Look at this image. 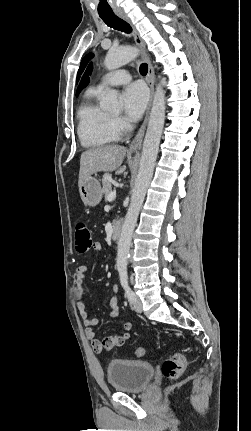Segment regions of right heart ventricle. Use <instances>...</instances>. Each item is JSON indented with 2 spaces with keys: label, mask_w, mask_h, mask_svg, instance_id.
Returning a JSON list of instances; mask_svg holds the SVG:
<instances>
[{
  "label": "right heart ventricle",
  "mask_w": 251,
  "mask_h": 431,
  "mask_svg": "<svg viewBox=\"0 0 251 431\" xmlns=\"http://www.w3.org/2000/svg\"><path fill=\"white\" fill-rule=\"evenodd\" d=\"M100 92L90 88L78 109V136L83 146L100 147L118 140L119 134L113 126V117L95 102Z\"/></svg>",
  "instance_id": "e07e8e85"
}]
</instances>
